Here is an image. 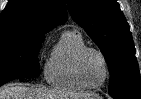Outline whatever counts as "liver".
<instances>
[{
  "mask_svg": "<svg viewBox=\"0 0 141 99\" xmlns=\"http://www.w3.org/2000/svg\"><path fill=\"white\" fill-rule=\"evenodd\" d=\"M88 93L68 94L42 86L9 84L0 89V99H86Z\"/></svg>",
  "mask_w": 141,
  "mask_h": 99,
  "instance_id": "6515ba94",
  "label": "liver"
}]
</instances>
